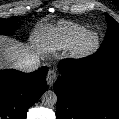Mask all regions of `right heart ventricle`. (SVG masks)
I'll list each match as a JSON object with an SVG mask.
<instances>
[{
  "label": "right heart ventricle",
  "instance_id": "obj_1",
  "mask_svg": "<svg viewBox=\"0 0 119 119\" xmlns=\"http://www.w3.org/2000/svg\"><path fill=\"white\" fill-rule=\"evenodd\" d=\"M86 31L87 29L84 26L76 23H61L52 32L49 41L50 48L52 50L72 48Z\"/></svg>",
  "mask_w": 119,
  "mask_h": 119
}]
</instances>
